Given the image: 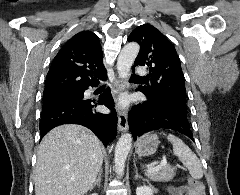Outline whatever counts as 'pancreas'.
I'll return each instance as SVG.
<instances>
[{
    "label": "pancreas",
    "instance_id": "1",
    "mask_svg": "<svg viewBox=\"0 0 240 195\" xmlns=\"http://www.w3.org/2000/svg\"><path fill=\"white\" fill-rule=\"evenodd\" d=\"M176 169L177 167H173V165H165V167H160L158 171H150L147 175L152 181H171L176 175Z\"/></svg>",
    "mask_w": 240,
    "mask_h": 195
}]
</instances>
